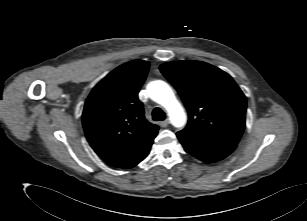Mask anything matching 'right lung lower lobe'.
<instances>
[{
  "mask_svg": "<svg viewBox=\"0 0 307 221\" xmlns=\"http://www.w3.org/2000/svg\"><path fill=\"white\" fill-rule=\"evenodd\" d=\"M150 147L147 148L141 155H139L137 158H135L134 160H132L131 162H129L126 166H124L122 168H131V167H134L135 165H137L139 162H141L148 155V153L150 151Z\"/></svg>",
  "mask_w": 307,
  "mask_h": 221,
  "instance_id": "98d812e1",
  "label": "right lung lower lobe"
}]
</instances>
